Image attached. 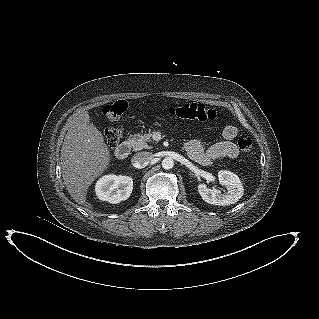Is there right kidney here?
<instances>
[{"instance_id":"right-kidney-1","label":"right kidney","mask_w":319,"mask_h":319,"mask_svg":"<svg viewBox=\"0 0 319 319\" xmlns=\"http://www.w3.org/2000/svg\"><path fill=\"white\" fill-rule=\"evenodd\" d=\"M132 190L133 179L122 175H105L101 177L95 185L97 198L112 204H117L128 199Z\"/></svg>"}]
</instances>
